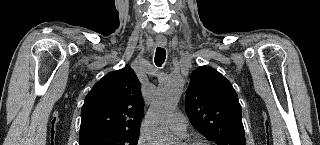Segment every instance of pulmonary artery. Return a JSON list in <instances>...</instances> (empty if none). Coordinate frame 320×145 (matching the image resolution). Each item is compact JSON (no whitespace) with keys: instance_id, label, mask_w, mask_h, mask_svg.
<instances>
[{"instance_id":"obj_1","label":"pulmonary artery","mask_w":320,"mask_h":145,"mask_svg":"<svg viewBox=\"0 0 320 145\" xmlns=\"http://www.w3.org/2000/svg\"><path fill=\"white\" fill-rule=\"evenodd\" d=\"M188 121L181 112H175L169 118L170 129L180 137H186Z\"/></svg>"}]
</instances>
